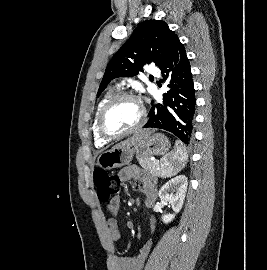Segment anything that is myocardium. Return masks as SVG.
<instances>
[{
    "label": "myocardium",
    "mask_w": 267,
    "mask_h": 270,
    "mask_svg": "<svg viewBox=\"0 0 267 270\" xmlns=\"http://www.w3.org/2000/svg\"><path fill=\"white\" fill-rule=\"evenodd\" d=\"M124 100H133L139 103L141 107V117L139 122L132 127L131 129L118 133V134H112L110 133L105 126V118L108 112L119 102L124 101ZM147 118V112L144 106L139 102L137 97L131 93H118L115 96H113L100 110L98 117H97V130L100 135V137L106 141H114L121 139L123 137H126L128 135H131L135 132H137L139 129H141Z\"/></svg>",
    "instance_id": "myocardium-1"
}]
</instances>
